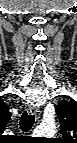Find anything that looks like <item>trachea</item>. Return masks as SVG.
Wrapping results in <instances>:
<instances>
[{"label":"trachea","instance_id":"obj_1","mask_svg":"<svg viewBox=\"0 0 77 143\" xmlns=\"http://www.w3.org/2000/svg\"><path fill=\"white\" fill-rule=\"evenodd\" d=\"M34 121H35V116L31 115V114H28L25 111L22 114V116L20 117V123H19L20 129L23 132H28L32 128Z\"/></svg>","mask_w":77,"mask_h":143}]
</instances>
